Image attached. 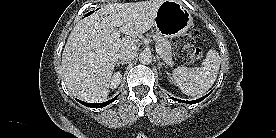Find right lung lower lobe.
<instances>
[{
	"label": "right lung lower lobe",
	"instance_id": "98d812e1",
	"mask_svg": "<svg viewBox=\"0 0 276 138\" xmlns=\"http://www.w3.org/2000/svg\"><path fill=\"white\" fill-rule=\"evenodd\" d=\"M117 97H118V95L115 98H113L109 101H106V102H103V103H94V104L93 103H86V102H83V101H80V100H78V101L81 104H83L84 106H87V107L102 108V107L107 106L108 104L112 103L113 101H115Z\"/></svg>",
	"mask_w": 276,
	"mask_h": 138
}]
</instances>
